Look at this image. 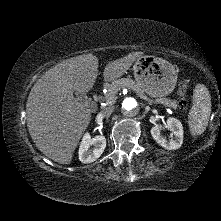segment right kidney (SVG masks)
Returning a JSON list of instances; mask_svg holds the SVG:
<instances>
[{
	"instance_id": "obj_1",
	"label": "right kidney",
	"mask_w": 221,
	"mask_h": 221,
	"mask_svg": "<svg viewBox=\"0 0 221 221\" xmlns=\"http://www.w3.org/2000/svg\"><path fill=\"white\" fill-rule=\"evenodd\" d=\"M93 145L92 149H89ZM106 147V138L104 136H95L91 138L89 133H85L79 147V160L86 164L97 160Z\"/></svg>"
}]
</instances>
